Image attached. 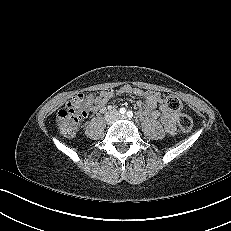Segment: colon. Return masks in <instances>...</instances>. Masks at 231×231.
<instances>
[{"label": "colon", "instance_id": "1", "mask_svg": "<svg viewBox=\"0 0 231 231\" xmlns=\"http://www.w3.org/2000/svg\"><path fill=\"white\" fill-rule=\"evenodd\" d=\"M79 94L72 98L57 114V124L60 132L65 136H73L78 129L80 122L85 118L86 112L80 108L78 97ZM166 105L172 111H179L182 108L181 100L176 96H168ZM180 130L184 133L193 129V120L187 115H182L179 119Z\"/></svg>", "mask_w": 231, "mask_h": 231}]
</instances>
